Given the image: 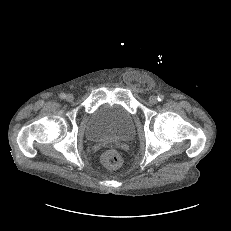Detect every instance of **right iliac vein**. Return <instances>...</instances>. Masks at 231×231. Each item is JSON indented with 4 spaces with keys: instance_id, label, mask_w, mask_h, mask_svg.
Returning <instances> with one entry per match:
<instances>
[{
    "instance_id": "right-iliac-vein-1",
    "label": "right iliac vein",
    "mask_w": 231,
    "mask_h": 231,
    "mask_svg": "<svg viewBox=\"0 0 231 231\" xmlns=\"http://www.w3.org/2000/svg\"><path fill=\"white\" fill-rule=\"evenodd\" d=\"M73 99H74V97H73V95H72V94H67V96H66V100H67L68 102H72V101H73Z\"/></svg>"
}]
</instances>
